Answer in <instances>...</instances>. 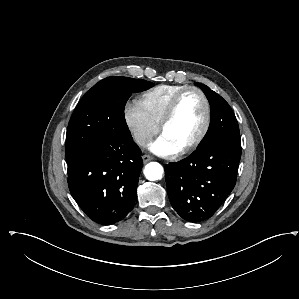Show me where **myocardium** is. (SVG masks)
Wrapping results in <instances>:
<instances>
[{"instance_id": "1", "label": "myocardium", "mask_w": 299, "mask_h": 299, "mask_svg": "<svg viewBox=\"0 0 299 299\" xmlns=\"http://www.w3.org/2000/svg\"><path fill=\"white\" fill-rule=\"evenodd\" d=\"M189 92H195L201 97L203 104H204V120H203L202 126H201L199 132L197 133V135L188 144H186L184 147H182L180 149L179 152L181 154L188 153L191 150H193L194 148H196L203 141L204 137L207 134V131L210 126V121H211V106H210V102H209L206 94L200 88H197L194 86L185 87L184 89L179 91L173 97V99L171 100L168 107L166 108L165 113L159 123V132L162 134L165 127L173 119V117L176 113V110L178 108L180 100L182 99V97L184 95H186Z\"/></svg>"}]
</instances>
